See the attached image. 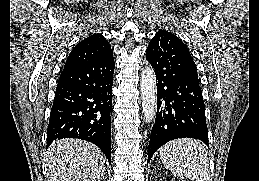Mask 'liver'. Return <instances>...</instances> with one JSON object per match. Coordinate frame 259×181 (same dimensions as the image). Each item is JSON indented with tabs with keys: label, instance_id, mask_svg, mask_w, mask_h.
Here are the masks:
<instances>
[{
	"label": "liver",
	"instance_id": "6515ba94",
	"mask_svg": "<svg viewBox=\"0 0 259 181\" xmlns=\"http://www.w3.org/2000/svg\"><path fill=\"white\" fill-rule=\"evenodd\" d=\"M48 181H101L106 157L101 150L78 139H62L48 149Z\"/></svg>",
	"mask_w": 259,
	"mask_h": 181
}]
</instances>
